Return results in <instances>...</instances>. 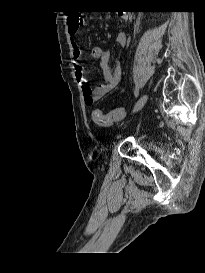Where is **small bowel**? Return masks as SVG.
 Here are the masks:
<instances>
[{"mask_svg":"<svg viewBox=\"0 0 205 273\" xmlns=\"http://www.w3.org/2000/svg\"><path fill=\"white\" fill-rule=\"evenodd\" d=\"M75 19L76 17H70L68 19V31L71 36L72 56L75 60H81L83 58V50L75 40V36L77 35L82 24L79 26V23H77ZM115 42L121 46L125 45L127 43L126 34H118ZM91 55L93 58L100 61L104 83H100L94 88H91L87 84L82 66L76 65L75 74L77 79L82 84L84 101L87 106H92L95 102L111 92L115 87H117L121 79V70L118 65L112 64L109 51L101 48L100 46H93L91 49Z\"/></svg>","mask_w":205,"mask_h":273,"instance_id":"obj_1","label":"small bowel"}]
</instances>
